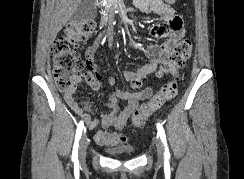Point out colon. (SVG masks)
I'll return each instance as SVG.
<instances>
[{
  "label": "colon",
  "mask_w": 244,
  "mask_h": 179,
  "mask_svg": "<svg viewBox=\"0 0 244 179\" xmlns=\"http://www.w3.org/2000/svg\"><path fill=\"white\" fill-rule=\"evenodd\" d=\"M174 3V0H167ZM94 32V24L90 20L68 24L58 36L53 45L54 77L58 88L64 92H72L85 80L93 89L99 85L98 74L92 70L79 54V41L88 38ZM192 42L185 38L173 47L166 67L175 77L174 81L164 84L150 99L139 105L132 113V123L136 127L143 124L166 103L170 102L178 91V70L183 67L191 56ZM142 82L133 80L134 87H140Z\"/></svg>",
  "instance_id": "obj_1"
}]
</instances>
